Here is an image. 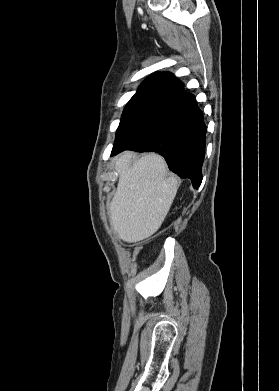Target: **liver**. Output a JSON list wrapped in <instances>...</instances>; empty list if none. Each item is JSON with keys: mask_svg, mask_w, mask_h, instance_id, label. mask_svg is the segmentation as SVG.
I'll use <instances>...</instances> for the list:
<instances>
[{"mask_svg": "<svg viewBox=\"0 0 279 391\" xmlns=\"http://www.w3.org/2000/svg\"><path fill=\"white\" fill-rule=\"evenodd\" d=\"M125 151L115 158L119 181L109 219L120 239L136 243L152 236L164 221L178 190L164 158L149 153L133 160Z\"/></svg>", "mask_w": 279, "mask_h": 391, "instance_id": "1", "label": "liver"}]
</instances>
